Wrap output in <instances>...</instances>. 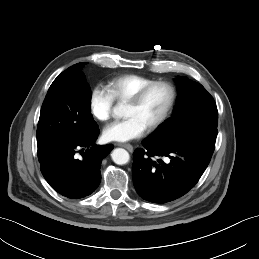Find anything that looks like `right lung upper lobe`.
<instances>
[{
  "instance_id": "cb5924a9",
  "label": "right lung upper lobe",
  "mask_w": 259,
  "mask_h": 259,
  "mask_svg": "<svg viewBox=\"0 0 259 259\" xmlns=\"http://www.w3.org/2000/svg\"><path fill=\"white\" fill-rule=\"evenodd\" d=\"M73 68H74V66L69 67L67 70L62 72L58 77L68 75ZM53 82L55 83V81H53Z\"/></svg>"
}]
</instances>
